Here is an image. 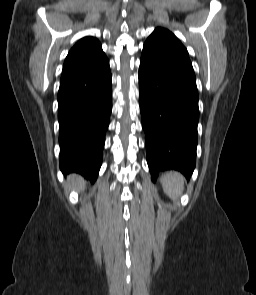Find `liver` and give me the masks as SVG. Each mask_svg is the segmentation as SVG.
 Masks as SVG:
<instances>
[{"instance_id":"6515ba94","label":"liver","mask_w":256,"mask_h":295,"mask_svg":"<svg viewBox=\"0 0 256 295\" xmlns=\"http://www.w3.org/2000/svg\"><path fill=\"white\" fill-rule=\"evenodd\" d=\"M68 183L72 184L73 186H83L81 182V178L78 175H70L67 178Z\"/></svg>"}]
</instances>
